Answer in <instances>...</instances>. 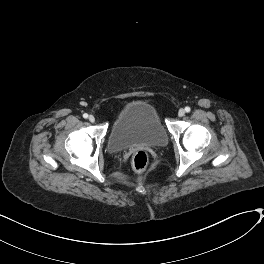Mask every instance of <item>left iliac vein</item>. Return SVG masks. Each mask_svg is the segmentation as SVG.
Here are the masks:
<instances>
[{"instance_id": "4c4485c4", "label": "left iliac vein", "mask_w": 264, "mask_h": 264, "mask_svg": "<svg viewBox=\"0 0 264 264\" xmlns=\"http://www.w3.org/2000/svg\"><path fill=\"white\" fill-rule=\"evenodd\" d=\"M184 114H185V110L184 109H179V111H178V115L180 116V117H182V116H184Z\"/></svg>"}]
</instances>
